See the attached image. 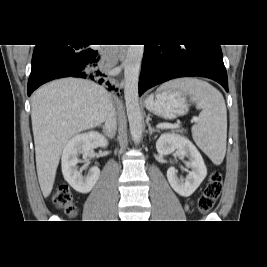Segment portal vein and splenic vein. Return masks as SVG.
<instances>
[{
	"label": "portal vein and splenic vein",
	"instance_id": "18ae733b",
	"mask_svg": "<svg viewBox=\"0 0 267 267\" xmlns=\"http://www.w3.org/2000/svg\"><path fill=\"white\" fill-rule=\"evenodd\" d=\"M193 121H198L197 118H193ZM179 125L178 124H159L157 125V128H161V129H168V128H178Z\"/></svg>",
	"mask_w": 267,
	"mask_h": 267
}]
</instances>
